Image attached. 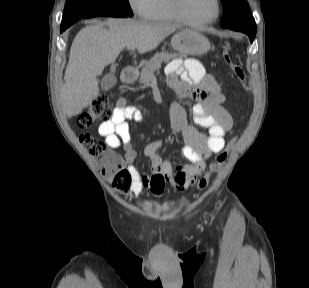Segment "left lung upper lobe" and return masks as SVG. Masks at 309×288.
<instances>
[{"label":"left lung upper lobe","instance_id":"1","mask_svg":"<svg viewBox=\"0 0 309 288\" xmlns=\"http://www.w3.org/2000/svg\"><path fill=\"white\" fill-rule=\"evenodd\" d=\"M223 4L222 26L232 25L240 20L251 18L252 14L245 0H221Z\"/></svg>","mask_w":309,"mask_h":288}]
</instances>
